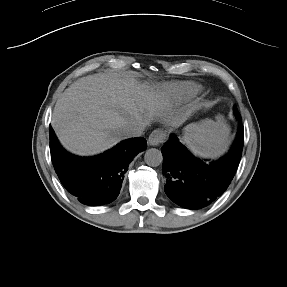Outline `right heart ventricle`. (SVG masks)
Wrapping results in <instances>:
<instances>
[{
  "instance_id": "obj_1",
  "label": "right heart ventricle",
  "mask_w": 287,
  "mask_h": 287,
  "mask_svg": "<svg viewBox=\"0 0 287 287\" xmlns=\"http://www.w3.org/2000/svg\"><path fill=\"white\" fill-rule=\"evenodd\" d=\"M200 87L194 83L186 82L171 87V93L180 99L189 98L199 93Z\"/></svg>"
}]
</instances>
